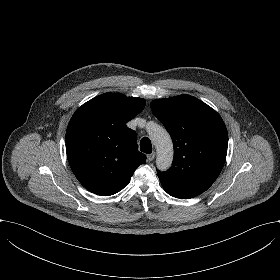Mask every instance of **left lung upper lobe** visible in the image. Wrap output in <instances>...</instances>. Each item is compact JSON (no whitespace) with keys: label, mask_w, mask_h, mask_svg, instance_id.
Returning <instances> with one entry per match:
<instances>
[{"label":"left lung upper lobe","mask_w":280,"mask_h":280,"mask_svg":"<svg viewBox=\"0 0 280 280\" xmlns=\"http://www.w3.org/2000/svg\"><path fill=\"white\" fill-rule=\"evenodd\" d=\"M151 108L173 141L172 166L165 172L157 170L165 191L182 199L203 193L225 163L228 134L222 118L190 95L157 99Z\"/></svg>","instance_id":"left-lung-upper-lobe-1"}]
</instances>
